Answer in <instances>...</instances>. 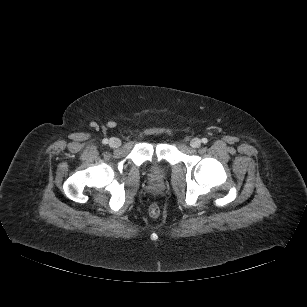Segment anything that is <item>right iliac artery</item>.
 Masks as SVG:
<instances>
[{"mask_svg":"<svg viewBox=\"0 0 307 307\" xmlns=\"http://www.w3.org/2000/svg\"><path fill=\"white\" fill-rule=\"evenodd\" d=\"M108 141H109V140H108L107 138H105V139H103L102 143H103V144H108Z\"/></svg>","mask_w":307,"mask_h":307,"instance_id":"obj_1","label":"right iliac artery"}]
</instances>
